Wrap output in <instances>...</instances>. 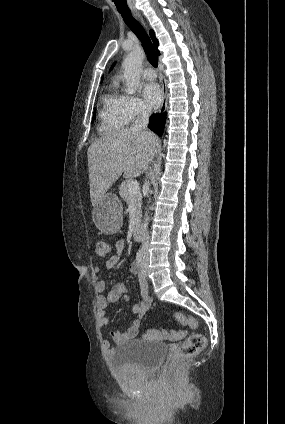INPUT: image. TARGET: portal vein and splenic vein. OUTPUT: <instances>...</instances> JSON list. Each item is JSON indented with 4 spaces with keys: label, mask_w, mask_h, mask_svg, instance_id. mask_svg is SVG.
I'll return each instance as SVG.
<instances>
[{
    "label": "portal vein and splenic vein",
    "mask_w": 285,
    "mask_h": 424,
    "mask_svg": "<svg viewBox=\"0 0 285 424\" xmlns=\"http://www.w3.org/2000/svg\"><path fill=\"white\" fill-rule=\"evenodd\" d=\"M139 183L137 181H130L128 184V192L130 195L139 191Z\"/></svg>",
    "instance_id": "obj_1"
}]
</instances>
